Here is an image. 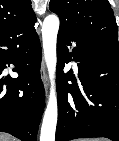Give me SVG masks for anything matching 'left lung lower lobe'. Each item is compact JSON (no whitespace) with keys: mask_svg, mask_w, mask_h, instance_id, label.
<instances>
[{"mask_svg":"<svg viewBox=\"0 0 119 141\" xmlns=\"http://www.w3.org/2000/svg\"><path fill=\"white\" fill-rule=\"evenodd\" d=\"M71 57L78 65V84L71 77L73 71L63 73ZM57 74L56 141L89 137L119 141V51L60 27Z\"/></svg>","mask_w":119,"mask_h":141,"instance_id":"obj_1","label":"left lung lower lobe"}]
</instances>
